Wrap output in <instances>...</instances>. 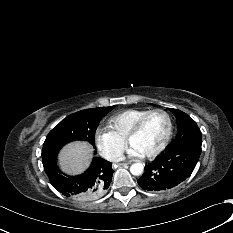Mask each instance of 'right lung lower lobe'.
I'll return each mask as SVG.
<instances>
[{"label":"right lung lower lobe","instance_id":"98d812e1","mask_svg":"<svg viewBox=\"0 0 233 233\" xmlns=\"http://www.w3.org/2000/svg\"><path fill=\"white\" fill-rule=\"evenodd\" d=\"M112 163L94 157L91 166L83 174L68 176L58 168L55 159L43 163L51 184L64 196L79 200H90L108 189L113 176Z\"/></svg>","mask_w":233,"mask_h":233}]
</instances>
